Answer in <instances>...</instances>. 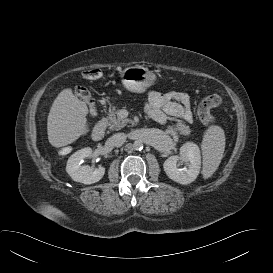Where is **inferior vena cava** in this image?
I'll return each instance as SVG.
<instances>
[{
    "label": "inferior vena cava",
    "mask_w": 273,
    "mask_h": 273,
    "mask_svg": "<svg viewBox=\"0 0 273 273\" xmlns=\"http://www.w3.org/2000/svg\"><path fill=\"white\" fill-rule=\"evenodd\" d=\"M127 136L124 133H116L111 138L110 141L113 146L120 147L126 142Z\"/></svg>",
    "instance_id": "602c4592"
}]
</instances>
